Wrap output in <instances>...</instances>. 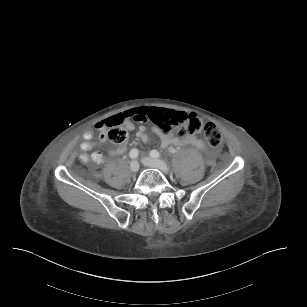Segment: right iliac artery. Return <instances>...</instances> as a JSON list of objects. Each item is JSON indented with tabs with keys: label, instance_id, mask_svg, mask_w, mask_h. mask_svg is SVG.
I'll use <instances>...</instances> for the list:
<instances>
[{
	"label": "right iliac artery",
	"instance_id": "1",
	"mask_svg": "<svg viewBox=\"0 0 307 307\" xmlns=\"http://www.w3.org/2000/svg\"><path fill=\"white\" fill-rule=\"evenodd\" d=\"M138 150L137 149H132L129 153V156L132 158V159H136L138 157Z\"/></svg>",
	"mask_w": 307,
	"mask_h": 307
}]
</instances>
